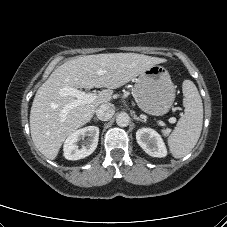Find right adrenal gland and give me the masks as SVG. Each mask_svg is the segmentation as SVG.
<instances>
[{
	"mask_svg": "<svg viewBox=\"0 0 227 227\" xmlns=\"http://www.w3.org/2000/svg\"><path fill=\"white\" fill-rule=\"evenodd\" d=\"M94 119V121H98V119L97 118H93Z\"/></svg>",
	"mask_w": 227,
	"mask_h": 227,
	"instance_id": "right-adrenal-gland-1",
	"label": "right adrenal gland"
}]
</instances>
